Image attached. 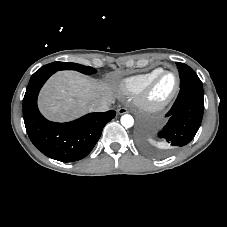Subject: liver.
Here are the masks:
<instances>
[{
  "instance_id": "liver-1",
  "label": "liver",
  "mask_w": 227,
  "mask_h": 227,
  "mask_svg": "<svg viewBox=\"0 0 227 227\" xmlns=\"http://www.w3.org/2000/svg\"><path fill=\"white\" fill-rule=\"evenodd\" d=\"M115 88L78 72L54 74L40 92L38 105L42 114L53 121H68L93 111L94 102L103 98L113 101Z\"/></svg>"
}]
</instances>
